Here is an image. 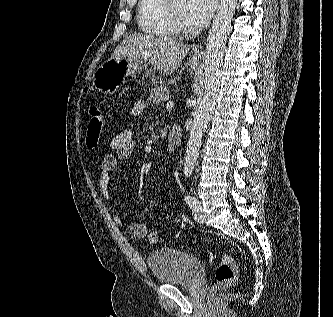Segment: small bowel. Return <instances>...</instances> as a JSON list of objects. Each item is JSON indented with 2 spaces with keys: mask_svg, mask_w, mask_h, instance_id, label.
Segmentation results:
<instances>
[{
  "mask_svg": "<svg viewBox=\"0 0 333 317\" xmlns=\"http://www.w3.org/2000/svg\"><path fill=\"white\" fill-rule=\"evenodd\" d=\"M145 109L146 103L143 100H137L131 106L129 114L134 119L142 115ZM133 135L134 129L130 125L110 140L109 147L113 153L106 155L99 165L98 185L116 224L128 230L134 237L143 238L148 233L147 225L142 222L128 221L116 207L110 192L112 172L117 169L120 162L128 160L133 154L135 147Z\"/></svg>",
  "mask_w": 333,
  "mask_h": 317,
  "instance_id": "obj_1",
  "label": "small bowel"
}]
</instances>
